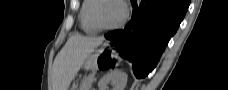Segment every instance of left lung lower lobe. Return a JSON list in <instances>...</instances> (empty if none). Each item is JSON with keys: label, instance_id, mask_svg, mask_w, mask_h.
Masks as SVG:
<instances>
[{"label": "left lung lower lobe", "instance_id": "obj_1", "mask_svg": "<svg viewBox=\"0 0 228 90\" xmlns=\"http://www.w3.org/2000/svg\"><path fill=\"white\" fill-rule=\"evenodd\" d=\"M131 3V20L124 29L112 31L105 38L114 42L121 57L133 64L135 76L144 78L158 63L190 1L131 0Z\"/></svg>", "mask_w": 228, "mask_h": 90}]
</instances>
